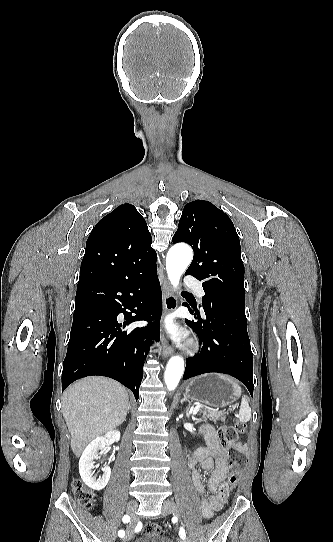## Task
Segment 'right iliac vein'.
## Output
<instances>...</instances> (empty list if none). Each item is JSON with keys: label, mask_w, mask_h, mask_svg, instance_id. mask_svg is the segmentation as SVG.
Here are the masks:
<instances>
[{"label": "right iliac vein", "mask_w": 333, "mask_h": 542, "mask_svg": "<svg viewBox=\"0 0 333 542\" xmlns=\"http://www.w3.org/2000/svg\"><path fill=\"white\" fill-rule=\"evenodd\" d=\"M136 508H137V503L135 501L129 503L128 506H127V511L126 512H127L128 515L131 516L132 521L127 526L125 541H129L133 537V530H134L135 521H136V516L134 515V510H136Z\"/></svg>", "instance_id": "obj_1"}]
</instances>
